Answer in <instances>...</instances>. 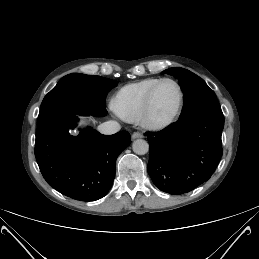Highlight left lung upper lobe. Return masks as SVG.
<instances>
[{
    "label": "left lung upper lobe",
    "mask_w": 259,
    "mask_h": 259,
    "mask_svg": "<svg viewBox=\"0 0 259 259\" xmlns=\"http://www.w3.org/2000/svg\"><path fill=\"white\" fill-rule=\"evenodd\" d=\"M164 72L178 78L182 85L185 105L180 116L181 119L204 111L221 110L214 91L199 76L179 67L169 68Z\"/></svg>",
    "instance_id": "1"
}]
</instances>
